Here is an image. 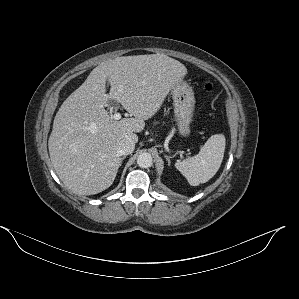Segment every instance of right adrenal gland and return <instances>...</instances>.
<instances>
[{"mask_svg":"<svg viewBox=\"0 0 299 299\" xmlns=\"http://www.w3.org/2000/svg\"><path fill=\"white\" fill-rule=\"evenodd\" d=\"M125 158V156H123L122 158H121V160H123Z\"/></svg>","mask_w":299,"mask_h":299,"instance_id":"1","label":"right adrenal gland"}]
</instances>
